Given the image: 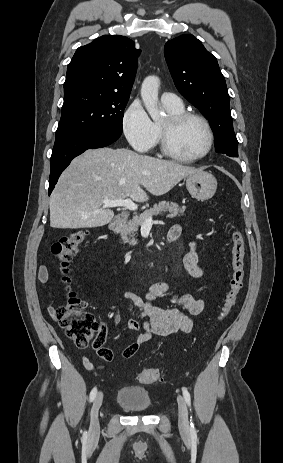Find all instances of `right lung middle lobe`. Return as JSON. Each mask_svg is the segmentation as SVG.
<instances>
[{"label": "right lung middle lobe", "instance_id": "1", "mask_svg": "<svg viewBox=\"0 0 283 463\" xmlns=\"http://www.w3.org/2000/svg\"><path fill=\"white\" fill-rule=\"evenodd\" d=\"M128 99L87 91L72 94L64 99L56 138L85 130L121 135Z\"/></svg>", "mask_w": 283, "mask_h": 463}]
</instances>
